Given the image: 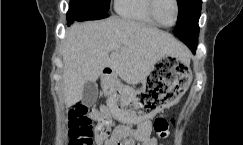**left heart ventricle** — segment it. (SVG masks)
<instances>
[{
    "label": "left heart ventricle",
    "mask_w": 243,
    "mask_h": 145,
    "mask_svg": "<svg viewBox=\"0 0 243 145\" xmlns=\"http://www.w3.org/2000/svg\"><path fill=\"white\" fill-rule=\"evenodd\" d=\"M156 13L162 23L167 25L172 24L175 18L173 0H157Z\"/></svg>",
    "instance_id": "1"
}]
</instances>
